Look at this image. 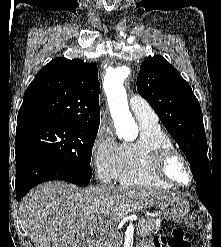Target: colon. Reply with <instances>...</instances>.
I'll return each mask as SVG.
<instances>
[{"instance_id": "obj_1", "label": "colon", "mask_w": 221, "mask_h": 247, "mask_svg": "<svg viewBox=\"0 0 221 247\" xmlns=\"http://www.w3.org/2000/svg\"><path fill=\"white\" fill-rule=\"evenodd\" d=\"M199 219L196 214L185 217L183 227L175 229L168 240V247H190V234L188 229L197 228ZM161 239L157 238L155 244L161 247Z\"/></svg>"}]
</instances>
